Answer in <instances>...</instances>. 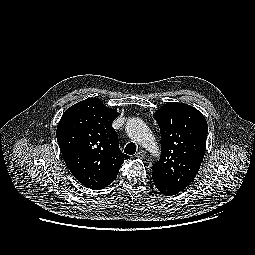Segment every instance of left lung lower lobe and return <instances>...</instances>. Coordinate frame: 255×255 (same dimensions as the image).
<instances>
[{
  "mask_svg": "<svg viewBox=\"0 0 255 255\" xmlns=\"http://www.w3.org/2000/svg\"><path fill=\"white\" fill-rule=\"evenodd\" d=\"M153 182L156 186V188L164 195H167V196H171V195H175L178 193L177 190L171 188V187H168L166 185H164L163 183H161L160 181H158L157 179H154L153 178Z\"/></svg>",
  "mask_w": 255,
  "mask_h": 255,
  "instance_id": "obj_1",
  "label": "left lung lower lobe"
}]
</instances>
